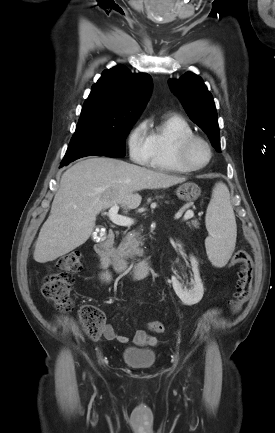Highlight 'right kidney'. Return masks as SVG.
Listing matches in <instances>:
<instances>
[{"label": "right kidney", "mask_w": 275, "mask_h": 433, "mask_svg": "<svg viewBox=\"0 0 275 433\" xmlns=\"http://www.w3.org/2000/svg\"><path fill=\"white\" fill-rule=\"evenodd\" d=\"M103 276H104V278H106V280L110 279V275L108 273L104 274Z\"/></svg>", "instance_id": "1"}]
</instances>
